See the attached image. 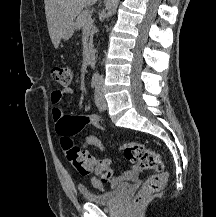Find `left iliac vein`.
Listing matches in <instances>:
<instances>
[{
    "label": "left iliac vein",
    "mask_w": 216,
    "mask_h": 217,
    "mask_svg": "<svg viewBox=\"0 0 216 217\" xmlns=\"http://www.w3.org/2000/svg\"><path fill=\"white\" fill-rule=\"evenodd\" d=\"M95 103L100 110H105L107 108V102L103 93L102 83L99 82L96 90H95Z\"/></svg>",
    "instance_id": "left-iliac-vein-1"
}]
</instances>
